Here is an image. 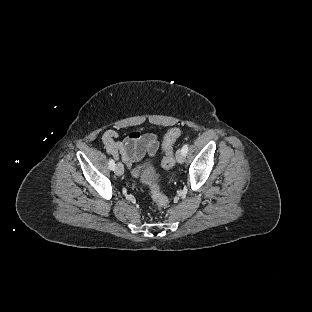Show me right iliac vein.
<instances>
[{"instance_id": "1", "label": "right iliac vein", "mask_w": 312, "mask_h": 312, "mask_svg": "<svg viewBox=\"0 0 312 312\" xmlns=\"http://www.w3.org/2000/svg\"><path fill=\"white\" fill-rule=\"evenodd\" d=\"M124 172V169H123V165L121 162H117L116 166H115V173L116 175L118 176H121Z\"/></svg>"}]
</instances>
